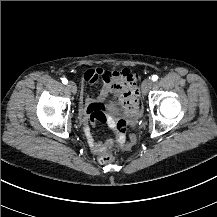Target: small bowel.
<instances>
[{"label":"small bowel","mask_w":217,"mask_h":217,"mask_svg":"<svg viewBox=\"0 0 217 217\" xmlns=\"http://www.w3.org/2000/svg\"><path fill=\"white\" fill-rule=\"evenodd\" d=\"M96 80L104 81L98 97L90 96L81 89L79 119L91 153L100 156L108 151L111 140L97 141L91 127L94 128L97 122L104 123L115 133L118 143L124 142L127 128L125 116L140 114V95L137 89L138 75L128 68L119 71H112L109 67L92 68L83 76L86 84H92ZM105 100H110L118 106L116 115L105 112Z\"/></svg>","instance_id":"small-bowel-1"}]
</instances>
